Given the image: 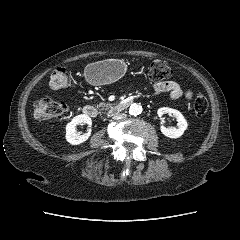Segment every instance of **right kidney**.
<instances>
[{
	"mask_svg": "<svg viewBox=\"0 0 240 240\" xmlns=\"http://www.w3.org/2000/svg\"><path fill=\"white\" fill-rule=\"evenodd\" d=\"M78 124H87L92 125V120L88 115L80 114L75 116L67 125H66V140L72 145H78L90 137L91 130L89 129L87 133L79 135L76 133L75 127Z\"/></svg>",
	"mask_w": 240,
	"mask_h": 240,
	"instance_id": "1",
	"label": "right kidney"
}]
</instances>
